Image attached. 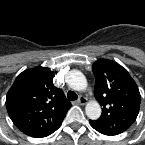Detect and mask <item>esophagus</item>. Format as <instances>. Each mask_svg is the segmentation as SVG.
<instances>
[{
	"mask_svg": "<svg viewBox=\"0 0 145 145\" xmlns=\"http://www.w3.org/2000/svg\"><path fill=\"white\" fill-rule=\"evenodd\" d=\"M76 103L79 104V105H85L87 103V99L83 96H80L78 98V100L76 101Z\"/></svg>",
	"mask_w": 145,
	"mask_h": 145,
	"instance_id": "1",
	"label": "esophagus"
}]
</instances>
